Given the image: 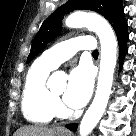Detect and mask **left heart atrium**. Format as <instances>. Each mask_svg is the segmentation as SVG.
I'll list each match as a JSON object with an SVG mask.
<instances>
[{"mask_svg": "<svg viewBox=\"0 0 136 136\" xmlns=\"http://www.w3.org/2000/svg\"><path fill=\"white\" fill-rule=\"evenodd\" d=\"M94 83V75L90 66L80 64L75 67L68 80V86L64 94L65 103L71 108H81L89 100Z\"/></svg>", "mask_w": 136, "mask_h": 136, "instance_id": "left-heart-atrium-1", "label": "left heart atrium"}]
</instances>
